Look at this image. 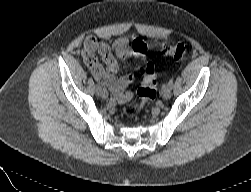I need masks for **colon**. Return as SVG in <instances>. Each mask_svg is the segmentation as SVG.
Returning a JSON list of instances; mask_svg holds the SVG:
<instances>
[{"mask_svg":"<svg viewBox=\"0 0 251 192\" xmlns=\"http://www.w3.org/2000/svg\"><path fill=\"white\" fill-rule=\"evenodd\" d=\"M162 54L170 56L174 60H182L187 54V48L184 44H167L162 47ZM141 84L137 90L139 98L138 103L131 105L127 114L131 118H136L144 105L156 98L157 95V72L152 63H147L139 69Z\"/></svg>","mask_w":251,"mask_h":192,"instance_id":"5ec220e1","label":"colon"}]
</instances>
